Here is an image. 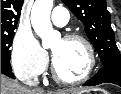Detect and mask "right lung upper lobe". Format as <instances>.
Returning a JSON list of instances; mask_svg holds the SVG:
<instances>
[{
  "mask_svg": "<svg viewBox=\"0 0 121 94\" xmlns=\"http://www.w3.org/2000/svg\"><path fill=\"white\" fill-rule=\"evenodd\" d=\"M24 0H1V32L17 28Z\"/></svg>",
  "mask_w": 121,
  "mask_h": 94,
  "instance_id": "obj_1",
  "label": "right lung upper lobe"
}]
</instances>
